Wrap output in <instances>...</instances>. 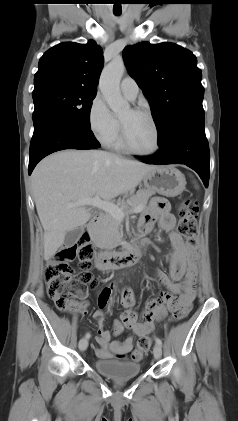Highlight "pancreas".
Here are the masks:
<instances>
[{
	"instance_id": "pancreas-1",
	"label": "pancreas",
	"mask_w": 238,
	"mask_h": 421,
	"mask_svg": "<svg viewBox=\"0 0 238 421\" xmlns=\"http://www.w3.org/2000/svg\"><path fill=\"white\" fill-rule=\"evenodd\" d=\"M153 194L154 192L151 190H139L127 200L121 201L118 207L121 209L140 207L143 210ZM91 236L97 247L102 249H113L117 246L118 239L122 236L120 220L108 212L105 213L92 230Z\"/></svg>"
}]
</instances>
